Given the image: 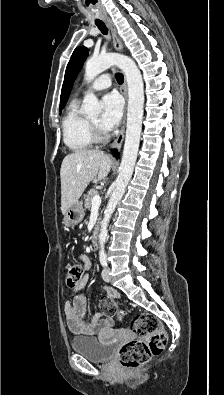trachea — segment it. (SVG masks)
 <instances>
[{
    "mask_svg": "<svg viewBox=\"0 0 224 395\" xmlns=\"http://www.w3.org/2000/svg\"><path fill=\"white\" fill-rule=\"evenodd\" d=\"M96 25H97V27L100 29V31H101L103 34L106 35V34L108 33V29H107L106 25L104 24V22L98 21V22H96ZM115 77H116V80H117V82H118L119 84H122V83H123L124 77H123V75H122L121 73H116Z\"/></svg>",
    "mask_w": 224,
    "mask_h": 395,
    "instance_id": "1",
    "label": "trachea"
}]
</instances>
